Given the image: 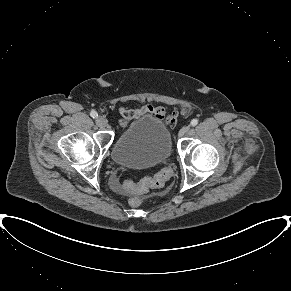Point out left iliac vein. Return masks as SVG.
<instances>
[{
	"instance_id": "1",
	"label": "left iliac vein",
	"mask_w": 291,
	"mask_h": 291,
	"mask_svg": "<svg viewBox=\"0 0 291 291\" xmlns=\"http://www.w3.org/2000/svg\"><path fill=\"white\" fill-rule=\"evenodd\" d=\"M189 129V126L182 127L178 133L179 137H183L189 131Z\"/></svg>"
}]
</instances>
